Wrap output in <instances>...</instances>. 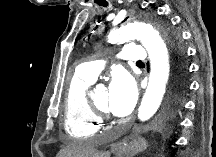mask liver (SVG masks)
Returning a JSON list of instances; mask_svg holds the SVG:
<instances>
[{"mask_svg": "<svg viewBox=\"0 0 216 157\" xmlns=\"http://www.w3.org/2000/svg\"><path fill=\"white\" fill-rule=\"evenodd\" d=\"M108 152H98L88 143L74 142L62 149L57 157H109Z\"/></svg>", "mask_w": 216, "mask_h": 157, "instance_id": "liver-1", "label": "liver"}]
</instances>
